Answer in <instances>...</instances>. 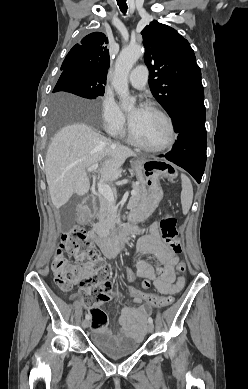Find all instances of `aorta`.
Masks as SVG:
<instances>
[{"label":"aorta","mask_w":248,"mask_h":389,"mask_svg":"<svg viewBox=\"0 0 248 389\" xmlns=\"http://www.w3.org/2000/svg\"><path fill=\"white\" fill-rule=\"evenodd\" d=\"M142 54L141 46L130 45L122 49L115 62L112 86L120 97L122 107L125 110L133 108L136 102V99L129 94L128 75Z\"/></svg>","instance_id":"obj_1"}]
</instances>
